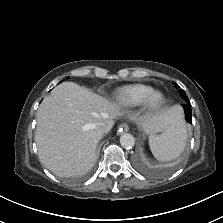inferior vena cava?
Masks as SVG:
<instances>
[{
    "label": "inferior vena cava",
    "mask_w": 223,
    "mask_h": 223,
    "mask_svg": "<svg viewBox=\"0 0 223 223\" xmlns=\"http://www.w3.org/2000/svg\"><path fill=\"white\" fill-rule=\"evenodd\" d=\"M97 133L102 136L107 131V125L104 122H100L96 125Z\"/></svg>",
    "instance_id": "obj_1"
}]
</instances>
